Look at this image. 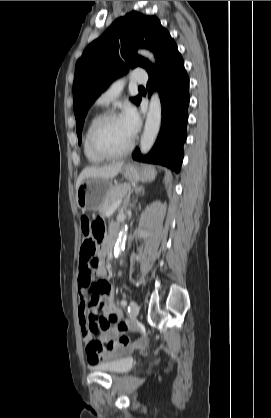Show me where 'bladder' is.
<instances>
[{"mask_svg":"<svg viewBox=\"0 0 271 418\" xmlns=\"http://www.w3.org/2000/svg\"><path fill=\"white\" fill-rule=\"evenodd\" d=\"M133 365L131 351H125L108 360L96 364L93 369L110 375H122L128 372Z\"/></svg>","mask_w":271,"mask_h":418,"instance_id":"1","label":"bladder"}]
</instances>
